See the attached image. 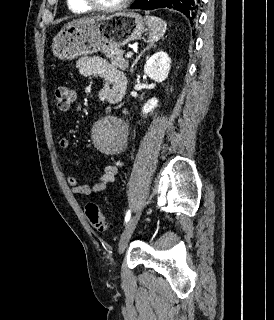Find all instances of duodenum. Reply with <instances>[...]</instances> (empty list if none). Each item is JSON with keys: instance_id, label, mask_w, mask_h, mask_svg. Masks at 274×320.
<instances>
[{"instance_id": "duodenum-1", "label": "duodenum", "mask_w": 274, "mask_h": 320, "mask_svg": "<svg viewBox=\"0 0 274 320\" xmlns=\"http://www.w3.org/2000/svg\"><path fill=\"white\" fill-rule=\"evenodd\" d=\"M100 98H101L102 100H104V99L106 98V96H105L104 94H101V95H100Z\"/></svg>"}]
</instances>
